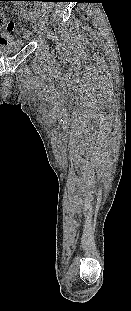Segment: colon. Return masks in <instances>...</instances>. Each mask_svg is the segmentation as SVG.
Masks as SVG:
<instances>
[{
  "mask_svg": "<svg viewBox=\"0 0 131 311\" xmlns=\"http://www.w3.org/2000/svg\"><path fill=\"white\" fill-rule=\"evenodd\" d=\"M7 24V20L2 16V14L0 13V26ZM35 27V25L33 23H29V22H22L19 26V28L23 31V32H29L31 30H33Z\"/></svg>",
  "mask_w": 131,
  "mask_h": 311,
  "instance_id": "1",
  "label": "colon"
}]
</instances>
